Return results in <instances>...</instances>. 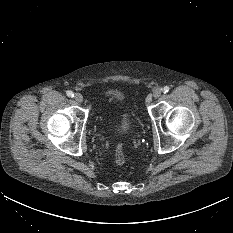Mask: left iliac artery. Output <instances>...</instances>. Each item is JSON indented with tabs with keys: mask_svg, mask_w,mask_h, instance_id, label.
Here are the masks:
<instances>
[{
	"mask_svg": "<svg viewBox=\"0 0 233 233\" xmlns=\"http://www.w3.org/2000/svg\"><path fill=\"white\" fill-rule=\"evenodd\" d=\"M169 87L168 86H165L164 88H163V93H167L168 91H169Z\"/></svg>",
	"mask_w": 233,
	"mask_h": 233,
	"instance_id": "obj_1",
	"label": "left iliac artery"
}]
</instances>
